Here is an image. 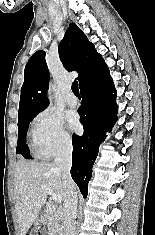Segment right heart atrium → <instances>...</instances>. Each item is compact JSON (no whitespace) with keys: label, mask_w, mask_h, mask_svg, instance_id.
<instances>
[{"label":"right heart atrium","mask_w":155,"mask_h":235,"mask_svg":"<svg viewBox=\"0 0 155 235\" xmlns=\"http://www.w3.org/2000/svg\"><path fill=\"white\" fill-rule=\"evenodd\" d=\"M30 135L34 147L46 157L68 151L72 147V137L62 117L51 109H45L35 116Z\"/></svg>","instance_id":"obj_1"}]
</instances>
